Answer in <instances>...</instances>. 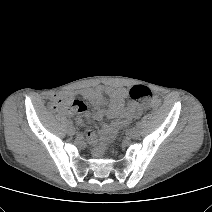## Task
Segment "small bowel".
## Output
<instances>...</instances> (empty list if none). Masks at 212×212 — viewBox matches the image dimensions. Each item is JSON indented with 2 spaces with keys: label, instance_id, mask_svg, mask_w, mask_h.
Returning a JSON list of instances; mask_svg holds the SVG:
<instances>
[{
  "label": "small bowel",
  "instance_id": "obj_1",
  "mask_svg": "<svg viewBox=\"0 0 212 212\" xmlns=\"http://www.w3.org/2000/svg\"><path fill=\"white\" fill-rule=\"evenodd\" d=\"M82 96L95 107L97 120L114 119L112 123L103 125L100 131V136L103 138L109 137L118 129L129 125L145 109L143 104L129 103L126 105V91L121 88L109 86L89 88L82 91ZM58 98L66 97H57L56 99ZM86 137L91 143L97 142V135L92 129L86 130Z\"/></svg>",
  "mask_w": 212,
  "mask_h": 212
}]
</instances>
